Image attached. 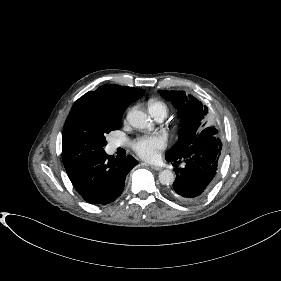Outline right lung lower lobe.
Here are the masks:
<instances>
[{
  "instance_id": "obj_1",
  "label": "right lung lower lobe",
  "mask_w": 281,
  "mask_h": 281,
  "mask_svg": "<svg viewBox=\"0 0 281 281\" xmlns=\"http://www.w3.org/2000/svg\"><path fill=\"white\" fill-rule=\"evenodd\" d=\"M137 164L138 161L131 155L115 159L104 151L82 161L67 174L85 201L107 204L122 193L127 174Z\"/></svg>"
}]
</instances>
